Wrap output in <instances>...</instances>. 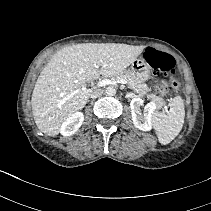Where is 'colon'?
Instances as JSON below:
<instances>
[{
    "label": "colon",
    "instance_id": "colon-1",
    "mask_svg": "<svg viewBox=\"0 0 211 211\" xmlns=\"http://www.w3.org/2000/svg\"><path fill=\"white\" fill-rule=\"evenodd\" d=\"M144 58L155 70L169 77V82L162 81L157 85L158 92L167 94L178 90L179 84L174 78L176 74L175 61L171 55L148 48L144 53Z\"/></svg>",
    "mask_w": 211,
    "mask_h": 211
}]
</instances>
